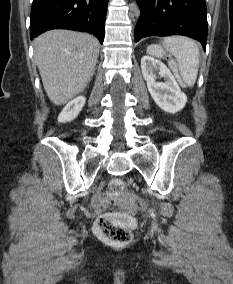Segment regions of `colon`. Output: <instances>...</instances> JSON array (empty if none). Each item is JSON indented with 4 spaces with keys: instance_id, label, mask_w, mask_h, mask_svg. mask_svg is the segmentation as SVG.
<instances>
[{
    "instance_id": "5ec220e1",
    "label": "colon",
    "mask_w": 233,
    "mask_h": 284,
    "mask_svg": "<svg viewBox=\"0 0 233 284\" xmlns=\"http://www.w3.org/2000/svg\"><path fill=\"white\" fill-rule=\"evenodd\" d=\"M147 52L152 57L166 60L179 84L186 86L179 74L176 62L166 54L160 45H150ZM110 190L112 195L118 200H124L127 196L126 184L120 178H115L110 182ZM131 222V219L126 215L120 213H106L96 220L95 231L98 236L111 243L126 244L132 240V232L130 230Z\"/></svg>"
}]
</instances>
